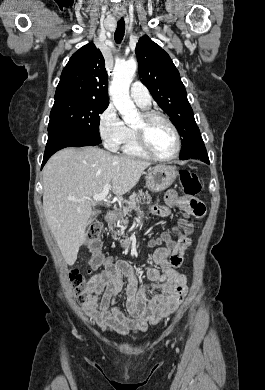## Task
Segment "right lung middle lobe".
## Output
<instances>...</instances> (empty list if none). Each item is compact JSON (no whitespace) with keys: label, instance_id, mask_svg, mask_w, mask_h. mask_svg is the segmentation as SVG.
<instances>
[{"label":"right lung middle lobe","instance_id":"1","mask_svg":"<svg viewBox=\"0 0 265 390\" xmlns=\"http://www.w3.org/2000/svg\"><path fill=\"white\" fill-rule=\"evenodd\" d=\"M109 103L88 99H64L54 102L50 113L48 135L68 132L101 142L99 115Z\"/></svg>","mask_w":265,"mask_h":390}]
</instances>
